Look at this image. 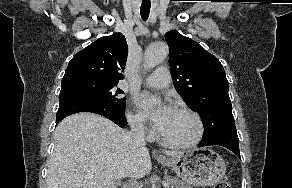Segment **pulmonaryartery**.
Here are the masks:
<instances>
[{
    "label": "pulmonary artery",
    "instance_id": "obj_1",
    "mask_svg": "<svg viewBox=\"0 0 292 188\" xmlns=\"http://www.w3.org/2000/svg\"><path fill=\"white\" fill-rule=\"evenodd\" d=\"M171 77L168 68L159 67L151 75H149L144 83L153 88H165L170 84Z\"/></svg>",
    "mask_w": 292,
    "mask_h": 188
}]
</instances>
